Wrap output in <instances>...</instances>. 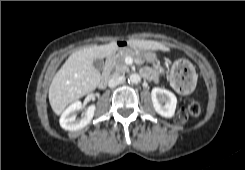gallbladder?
I'll return each mask as SVG.
<instances>
[{"label":"gallbladder","mask_w":245,"mask_h":170,"mask_svg":"<svg viewBox=\"0 0 245 170\" xmlns=\"http://www.w3.org/2000/svg\"><path fill=\"white\" fill-rule=\"evenodd\" d=\"M93 66L97 69V70H102L104 67V60L97 58L93 61Z\"/></svg>","instance_id":"bac80fb5"}]
</instances>
